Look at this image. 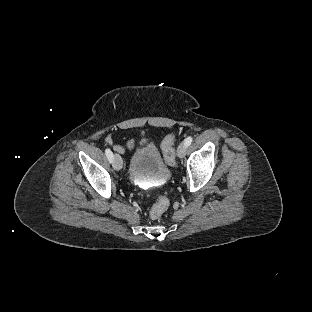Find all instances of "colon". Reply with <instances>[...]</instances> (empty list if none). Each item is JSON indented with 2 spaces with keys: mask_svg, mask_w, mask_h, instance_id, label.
Masks as SVG:
<instances>
[{
  "mask_svg": "<svg viewBox=\"0 0 312 312\" xmlns=\"http://www.w3.org/2000/svg\"><path fill=\"white\" fill-rule=\"evenodd\" d=\"M176 140V133L174 131H169L161 142V149L164 154V161L168 166L175 165V153H174V143ZM167 206V199L163 196H158V200L154 203L151 214L153 216H158L164 212Z\"/></svg>",
  "mask_w": 312,
  "mask_h": 312,
  "instance_id": "obj_1",
  "label": "colon"
}]
</instances>
